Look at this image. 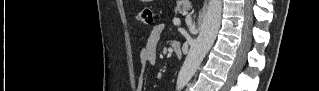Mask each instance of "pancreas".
Segmentation results:
<instances>
[{
	"mask_svg": "<svg viewBox=\"0 0 319 91\" xmlns=\"http://www.w3.org/2000/svg\"><path fill=\"white\" fill-rule=\"evenodd\" d=\"M189 10V6L188 5H178L176 7V11L179 13H183V12H187Z\"/></svg>",
	"mask_w": 319,
	"mask_h": 91,
	"instance_id": "obj_1",
	"label": "pancreas"
}]
</instances>
